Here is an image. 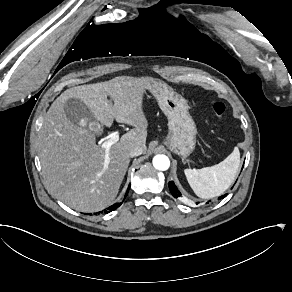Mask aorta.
Listing matches in <instances>:
<instances>
[{"label":"aorta","mask_w":292,"mask_h":292,"mask_svg":"<svg viewBox=\"0 0 292 292\" xmlns=\"http://www.w3.org/2000/svg\"><path fill=\"white\" fill-rule=\"evenodd\" d=\"M153 166L159 171H166L170 167V160L165 155H157L153 159Z\"/></svg>","instance_id":"762f6f07"}]
</instances>
